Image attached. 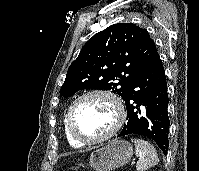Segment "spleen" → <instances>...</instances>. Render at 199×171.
Wrapping results in <instances>:
<instances>
[{"label":"spleen","instance_id":"spleen-1","mask_svg":"<svg viewBox=\"0 0 199 171\" xmlns=\"http://www.w3.org/2000/svg\"><path fill=\"white\" fill-rule=\"evenodd\" d=\"M132 142L135 144L136 156L139 157L137 171H146L158 163L159 159L154 146L143 139H132Z\"/></svg>","mask_w":199,"mask_h":171}]
</instances>
